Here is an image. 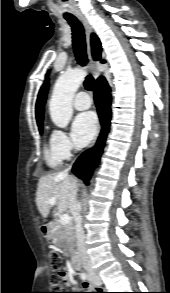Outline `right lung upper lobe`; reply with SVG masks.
<instances>
[{"label": "right lung upper lobe", "mask_w": 170, "mask_h": 293, "mask_svg": "<svg viewBox=\"0 0 170 293\" xmlns=\"http://www.w3.org/2000/svg\"><path fill=\"white\" fill-rule=\"evenodd\" d=\"M91 45H92V54L94 59L95 60L100 59L101 44L95 34H92ZM101 62L104 63L105 61L101 60ZM47 90H48V82L41 88L38 95L37 102H36V120H37L38 126H42V123H43V106L45 104Z\"/></svg>", "instance_id": "obj_1"}]
</instances>
